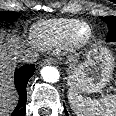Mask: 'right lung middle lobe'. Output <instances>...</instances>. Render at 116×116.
I'll return each mask as SVG.
<instances>
[{"instance_id": "dd1d6c3e", "label": "right lung middle lobe", "mask_w": 116, "mask_h": 116, "mask_svg": "<svg viewBox=\"0 0 116 116\" xmlns=\"http://www.w3.org/2000/svg\"><path fill=\"white\" fill-rule=\"evenodd\" d=\"M18 13L14 11H3L0 12V21H7L12 23L13 21L17 20Z\"/></svg>"}]
</instances>
